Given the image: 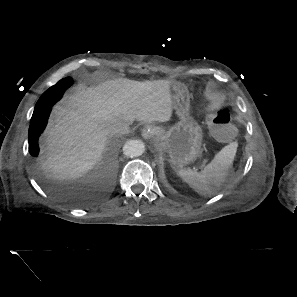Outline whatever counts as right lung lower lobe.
Listing matches in <instances>:
<instances>
[{
    "mask_svg": "<svg viewBox=\"0 0 297 297\" xmlns=\"http://www.w3.org/2000/svg\"><path fill=\"white\" fill-rule=\"evenodd\" d=\"M54 104L48 105L42 112L37 111L39 104H36L35 110L31 118V123H30L29 133H28L29 152L34 157H37L39 154L38 138L40 134L44 131L47 125L48 118H49L52 106Z\"/></svg>",
    "mask_w": 297,
    "mask_h": 297,
    "instance_id": "1",
    "label": "right lung lower lobe"
}]
</instances>
